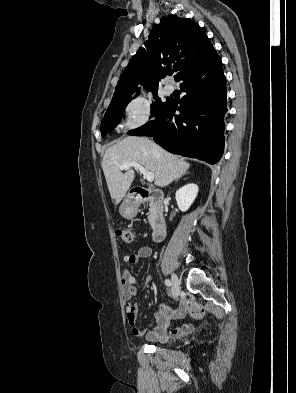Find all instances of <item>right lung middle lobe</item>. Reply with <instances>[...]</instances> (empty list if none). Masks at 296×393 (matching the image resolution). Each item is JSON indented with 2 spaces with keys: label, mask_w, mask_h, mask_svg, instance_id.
Instances as JSON below:
<instances>
[{
  "label": "right lung middle lobe",
  "mask_w": 296,
  "mask_h": 393,
  "mask_svg": "<svg viewBox=\"0 0 296 393\" xmlns=\"http://www.w3.org/2000/svg\"><path fill=\"white\" fill-rule=\"evenodd\" d=\"M150 91L152 92L153 98L155 99V102H153V104L151 105V117H153L156 116L164 108L168 98L166 99V102L163 103L157 96V89H153ZM130 100L131 97L111 101L101 122L102 137H104L107 133L111 132L117 126Z\"/></svg>",
  "instance_id": "right-lung-middle-lobe-1"
}]
</instances>
